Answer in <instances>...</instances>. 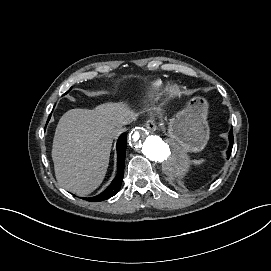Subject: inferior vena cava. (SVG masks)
<instances>
[{
	"instance_id": "obj_1",
	"label": "inferior vena cava",
	"mask_w": 271,
	"mask_h": 271,
	"mask_svg": "<svg viewBox=\"0 0 271 271\" xmlns=\"http://www.w3.org/2000/svg\"><path fill=\"white\" fill-rule=\"evenodd\" d=\"M125 131H126L125 128L117 129V130H116V132H117L116 136L120 135L122 132H125Z\"/></svg>"
}]
</instances>
